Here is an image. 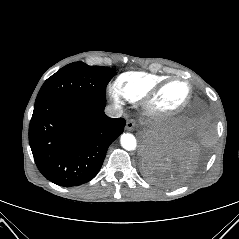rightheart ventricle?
Wrapping results in <instances>:
<instances>
[{"instance_id": "right-heart-ventricle-1", "label": "right heart ventricle", "mask_w": 239, "mask_h": 239, "mask_svg": "<svg viewBox=\"0 0 239 239\" xmlns=\"http://www.w3.org/2000/svg\"><path fill=\"white\" fill-rule=\"evenodd\" d=\"M166 79L162 75L128 71L119 75L115 85L126 100L135 102L143 99L150 90Z\"/></svg>"}]
</instances>
